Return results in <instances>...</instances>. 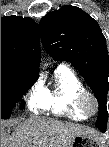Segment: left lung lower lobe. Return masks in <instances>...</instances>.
<instances>
[{
	"label": "left lung lower lobe",
	"mask_w": 109,
	"mask_h": 147,
	"mask_svg": "<svg viewBox=\"0 0 109 147\" xmlns=\"http://www.w3.org/2000/svg\"><path fill=\"white\" fill-rule=\"evenodd\" d=\"M103 133L106 131V127L99 128Z\"/></svg>",
	"instance_id": "1"
}]
</instances>
